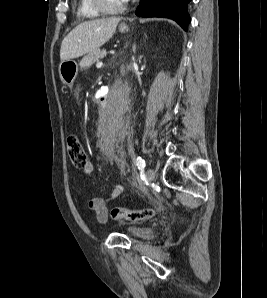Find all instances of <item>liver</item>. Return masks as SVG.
Returning a JSON list of instances; mask_svg holds the SVG:
<instances>
[{
    "label": "liver",
    "instance_id": "6515ba94",
    "mask_svg": "<svg viewBox=\"0 0 267 298\" xmlns=\"http://www.w3.org/2000/svg\"><path fill=\"white\" fill-rule=\"evenodd\" d=\"M121 18L94 19L77 25L62 41L61 62L81 57L105 44L114 34Z\"/></svg>",
    "mask_w": 267,
    "mask_h": 298
}]
</instances>
